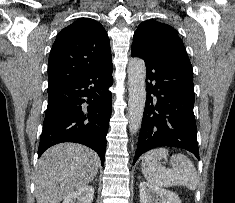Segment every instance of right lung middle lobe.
<instances>
[{
  "label": "right lung middle lobe",
  "mask_w": 235,
  "mask_h": 203,
  "mask_svg": "<svg viewBox=\"0 0 235 203\" xmlns=\"http://www.w3.org/2000/svg\"><path fill=\"white\" fill-rule=\"evenodd\" d=\"M53 89H55V88H48V91L53 90Z\"/></svg>",
  "instance_id": "1"
}]
</instances>
